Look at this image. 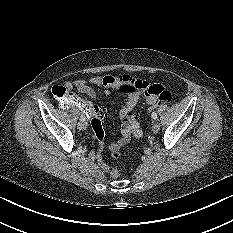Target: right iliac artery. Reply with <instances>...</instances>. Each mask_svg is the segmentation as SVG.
I'll return each instance as SVG.
<instances>
[{"mask_svg":"<svg viewBox=\"0 0 233 233\" xmlns=\"http://www.w3.org/2000/svg\"><path fill=\"white\" fill-rule=\"evenodd\" d=\"M80 118H81L82 121H85V119H86L84 115H81Z\"/></svg>","mask_w":233,"mask_h":233,"instance_id":"obj_1","label":"right iliac artery"}]
</instances>
